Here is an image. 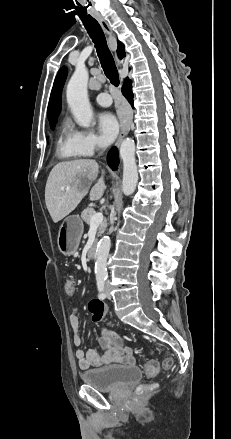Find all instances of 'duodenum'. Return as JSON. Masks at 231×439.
<instances>
[{"label": "duodenum", "instance_id": "duodenum-1", "mask_svg": "<svg viewBox=\"0 0 231 439\" xmlns=\"http://www.w3.org/2000/svg\"><path fill=\"white\" fill-rule=\"evenodd\" d=\"M96 254H97V246L96 244H93L87 252V258L89 260H93L96 257Z\"/></svg>", "mask_w": 231, "mask_h": 439}]
</instances>
